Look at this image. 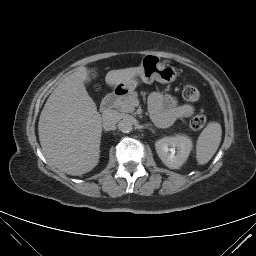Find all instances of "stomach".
Wrapping results in <instances>:
<instances>
[{"label":"stomach","instance_id":"stomach-1","mask_svg":"<svg viewBox=\"0 0 256 256\" xmlns=\"http://www.w3.org/2000/svg\"><path fill=\"white\" fill-rule=\"evenodd\" d=\"M140 71L138 74L130 79H127L116 85L115 89L121 94L132 93L138 84V77L147 84H151L154 80L168 84L175 81L177 77L176 69L159 61L155 55H146L143 57Z\"/></svg>","mask_w":256,"mask_h":256}]
</instances>
